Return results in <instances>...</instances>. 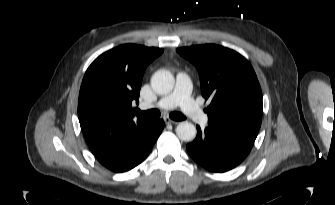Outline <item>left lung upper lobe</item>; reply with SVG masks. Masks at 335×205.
Segmentation results:
<instances>
[{
    "label": "left lung upper lobe",
    "instance_id": "1",
    "mask_svg": "<svg viewBox=\"0 0 335 205\" xmlns=\"http://www.w3.org/2000/svg\"><path fill=\"white\" fill-rule=\"evenodd\" d=\"M200 75L201 94L211 101L208 125L255 140L261 126L262 92L251 64L239 53L215 44L178 48Z\"/></svg>",
    "mask_w": 335,
    "mask_h": 205
}]
</instances>
